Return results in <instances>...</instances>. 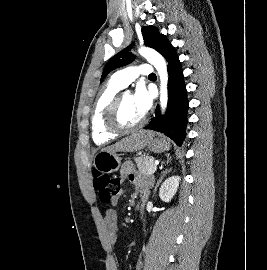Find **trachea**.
<instances>
[{"label":"trachea","mask_w":267,"mask_h":270,"mask_svg":"<svg viewBox=\"0 0 267 270\" xmlns=\"http://www.w3.org/2000/svg\"><path fill=\"white\" fill-rule=\"evenodd\" d=\"M150 76H155V74H151Z\"/></svg>","instance_id":"3493384b"}]
</instances>
